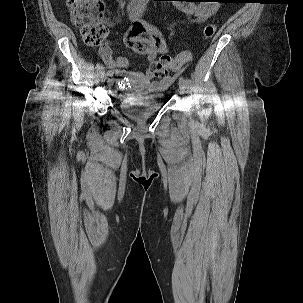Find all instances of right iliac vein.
<instances>
[{"mask_svg":"<svg viewBox=\"0 0 303 303\" xmlns=\"http://www.w3.org/2000/svg\"><path fill=\"white\" fill-rule=\"evenodd\" d=\"M113 82H114L113 77L112 76H108V78H107V84H108V86H111L113 84Z\"/></svg>","mask_w":303,"mask_h":303,"instance_id":"right-iliac-vein-1","label":"right iliac vein"}]
</instances>
